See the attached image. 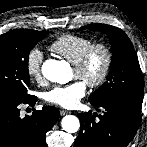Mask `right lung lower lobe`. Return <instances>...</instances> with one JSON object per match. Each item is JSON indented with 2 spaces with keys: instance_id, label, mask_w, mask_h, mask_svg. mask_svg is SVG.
Listing matches in <instances>:
<instances>
[{
  "instance_id": "obj_1",
  "label": "right lung lower lobe",
  "mask_w": 147,
  "mask_h": 147,
  "mask_svg": "<svg viewBox=\"0 0 147 147\" xmlns=\"http://www.w3.org/2000/svg\"><path fill=\"white\" fill-rule=\"evenodd\" d=\"M37 98L21 101H0V147H45V135L59 119V111L52 106L35 110L21 118V104L35 105Z\"/></svg>"
}]
</instances>
